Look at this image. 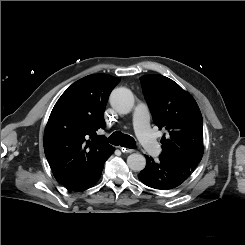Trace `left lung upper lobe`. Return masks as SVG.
<instances>
[{
	"label": "left lung upper lobe",
	"mask_w": 245,
	"mask_h": 245,
	"mask_svg": "<svg viewBox=\"0 0 245 245\" xmlns=\"http://www.w3.org/2000/svg\"><path fill=\"white\" fill-rule=\"evenodd\" d=\"M140 79L154 123L167 131L161 139L160 157L193 172L204 151L203 119L196 101L165 76L152 74Z\"/></svg>",
	"instance_id": "1"
}]
</instances>
